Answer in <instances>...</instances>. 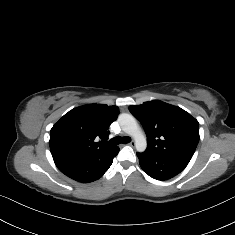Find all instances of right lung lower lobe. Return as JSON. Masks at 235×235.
Instances as JSON below:
<instances>
[{"label": "right lung lower lobe", "instance_id": "right-lung-lower-lobe-1", "mask_svg": "<svg viewBox=\"0 0 235 235\" xmlns=\"http://www.w3.org/2000/svg\"><path fill=\"white\" fill-rule=\"evenodd\" d=\"M118 152L119 149L105 157L85 159L64 158L54 159V162L58 169L69 178L81 183H90L103 176Z\"/></svg>", "mask_w": 235, "mask_h": 235}]
</instances>
